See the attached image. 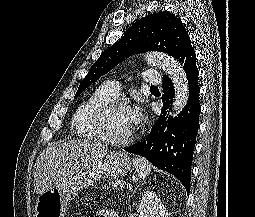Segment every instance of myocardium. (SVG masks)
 I'll use <instances>...</instances> for the list:
<instances>
[{
	"instance_id": "obj_1",
	"label": "myocardium",
	"mask_w": 255,
	"mask_h": 217,
	"mask_svg": "<svg viewBox=\"0 0 255 217\" xmlns=\"http://www.w3.org/2000/svg\"><path fill=\"white\" fill-rule=\"evenodd\" d=\"M118 107H128V105L124 101L117 99H112L109 102L105 103L97 111L95 115V122L97 129L104 141L115 145H125L130 143L134 139L135 132L133 131L131 134L124 138H117L111 134L109 129V116L111 112Z\"/></svg>"
}]
</instances>
